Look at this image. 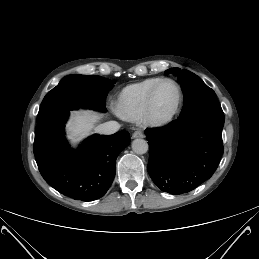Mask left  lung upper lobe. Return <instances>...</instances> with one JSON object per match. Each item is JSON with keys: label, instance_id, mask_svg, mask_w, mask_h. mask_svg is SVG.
<instances>
[{"label": "left lung upper lobe", "instance_id": "5c2ea615", "mask_svg": "<svg viewBox=\"0 0 259 259\" xmlns=\"http://www.w3.org/2000/svg\"><path fill=\"white\" fill-rule=\"evenodd\" d=\"M167 72L178 76L185 94L184 105L179 117H185L206 109L221 108L215 92L200 77L186 69L180 72L178 68H172Z\"/></svg>", "mask_w": 259, "mask_h": 259}]
</instances>
